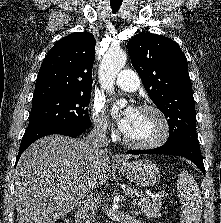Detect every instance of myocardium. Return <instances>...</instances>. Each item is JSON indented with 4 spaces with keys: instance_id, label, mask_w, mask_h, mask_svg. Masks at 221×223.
<instances>
[{
    "instance_id": "myocardium-1",
    "label": "myocardium",
    "mask_w": 221,
    "mask_h": 223,
    "mask_svg": "<svg viewBox=\"0 0 221 223\" xmlns=\"http://www.w3.org/2000/svg\"><path fill=\"white\" fill-rule=\"evenodd\" d=\"M139 111L154 113L161 122V132L157 138L149 142H135L128 139L125 134H122V142L133 149L152 150L156 149L166 143L170 136L171 126L166 114L154 105H142L138 108Z\"/></svg>"
}]
</instances>
